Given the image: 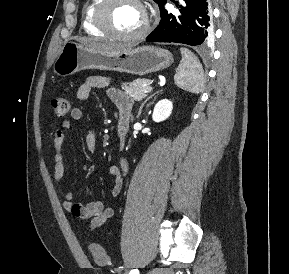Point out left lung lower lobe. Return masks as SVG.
I'll use <instances>...</instances> for the list:
<instances>
[{
  "label": "left lung lower lobe",
  "instance_id": "left-lung-lower-lobe-1",
  "mask_svg": "<svg viewBox=\"0 0 289 274\" xmlns=\"http://www.w3.org/2000/svg\"><path fill=\"white\" fill-rule=\"evenodd\" d=\"M180 14L169 13L162 3L161 20L146 41L176 42L191 46H204L213 35L209 0H183Z\"/></svg>",
  "mask_w": 289,
  "mask_h": 274
}]
</instances>
